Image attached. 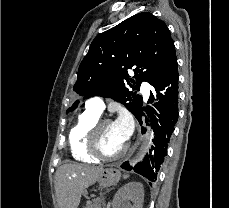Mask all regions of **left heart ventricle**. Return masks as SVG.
<instances>
[{
    "label": "left heart ventricle",
    "mask_w": 229,
    "mask_h": 208,
    "mask_svg": "<svg viewBox=\"0 0 229 208\" xmlns=\"http://www.w3.org/2000/svg\"><path fill=\"white\" fill-rule=\"evenodd\" d=\"M101 135L102 139L98 140L99 151L105 152V157H112V152L120 151L127 143L126 140L119 135L114 123L103 125Z\"/></svg>",
    "instance_id": "left-heart-ventricle-1"
}]
</instances>
